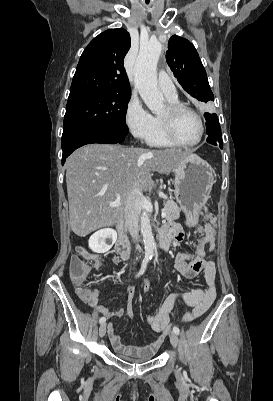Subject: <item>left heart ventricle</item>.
<instances>
[{
	"label": "left heart ventricle",
	"mask_w": 273,
	"mask_h": 401,
	"mask_svg": "<svg viewBox=\"0 0 273 401\" xmlns=\"http://www.w3.org/2000/svg\"><path fill=\"white\" fill-rule=\"evenodd\" d=\"M160 116L172 119L174 131L180 140L184 142H194L200 137V123L194 115L185 111L170 113L168 111V106H166Z\"/></svg>",
	"instance_id": "left-heart-ventricle-1"
}]
</instances>
